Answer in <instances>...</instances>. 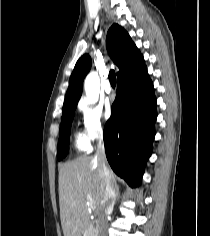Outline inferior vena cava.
<instances>
[{
  "label": "inferior vena cava",
  "instance_id": "602c4592",
  "mask_svg": "<svg viewBox=\"0 0 210 236\" xmlns=\"http://www.w3.org/2000/svg\"><path fill=\"white\" fill-rule=\"evenodd\" d=\"M95 160L101 175L102 200L98 217V236H107L108 220L107 216L112 213L116 199L115 184L112 173L107 166L103 140L100 139L97 145Z\"/></svg>",
  "mask_w": 210,
  "mask_h": 236
}]
</instances>
